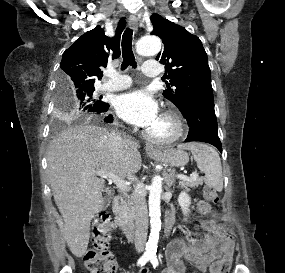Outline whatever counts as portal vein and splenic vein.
I'll list each match as a JSON object with an SVG mask.
<instances>
[{"instance_id": "portal-vein-and-splenic-vein-1", "label": "portal vein and splenic vein", "mask_w": 285, "mask_h": 273, "mask_svg": "<svg viewBox=\"0 0 285 273\" xmlns=\"http://www.w3.org/2000/svg\"><path fill=\"white\" fill-rule=\"evenodd\" d=\"M97 176L101 178H109L112 182L116 184L120 189L127 190L129 188V183L124 181L121 177L118 175L111 173V172H106L103 170L97 171ZM198 177V175L193 172L190 174V176L184 175V174H178L177 178L181 180H194Z\"/></svg>"}]
</instances>
